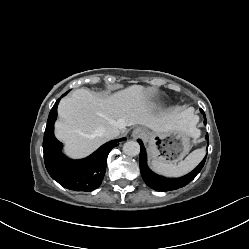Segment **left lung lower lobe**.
<instances>
[{"instance_id":"obj_1","label":"left lung lower lobe","mask_w":249,"mask_h":249,"mask_svg":"<svg viewBox=\"0 0 249 249\" xmlns=\"http://www.w3.org/2000/svg\"><path fill=\"white\" fill-rule=\"evenodd\" d=\"M204 115V123L206 124V116L204 112L201 110ZM206 139L208 140V134L206 135ZM138 143L141 146L139 164L141 175L145 183L156 191H170L176 190L178 188L184 187L188 183H190L195 176L201 171L204 166L206 157L202 160V162L189 174L180 177V178H165L153 173L147 166V156L146 150L141 140H138Z\"/></svg>"}]
</instances>
